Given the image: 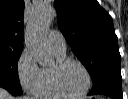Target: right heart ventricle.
<instances>
[{
  "instance_id": "1",
  "label": "right heart ventricle",
  "mask_w": 128,
  "mask_h": 99,
  "mask_svg": "<svg viewBox=\"0 0 128 99\" xmlns=\"http://www.w3.org/2000/svg\"><path fill=\"white\" fill-rule=\"evenodd\" d=\"M54 53L57 60L65 57V54H59L56 52ZM34 94L39 98H43V99H58L62 97L55 90L52 84L50 68L47 67L41 68V80Z\"/></svg>"
}]
</instances>
